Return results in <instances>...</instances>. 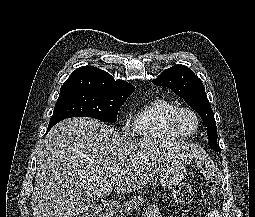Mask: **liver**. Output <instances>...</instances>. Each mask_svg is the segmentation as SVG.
<instances>
[{
	"instance_id": "liver-1",
	"label": "liver",
	"mask_w": 255,
	"mask_h": 217,
	"mask_svg": "<svg viewBox=\"0 0 255 217\" xmlns=\"http://www.w3.org/2000/svg\"><path fill=\"white\" fill-rule=\"evenodd\" d=\"M202 153L191 144L127 138L91 118L63 120L47 134L38 154L33 215L73 217L83 197L131 193L167 162L200 159Z\"/></svg>"
}]
</instances>
